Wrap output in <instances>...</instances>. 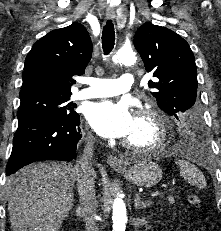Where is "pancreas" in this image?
Here are the masks:
<instances>
[{
    "label": "pancreas",
    "mask_w": 221,
    "mask_h": 231,
    "mask_svg": "<svg viewBox=\"0 0 221 231\" xmlns=\"http://www.w3.org/2000/svg\"><path fill=\"white\" fill-rule=\"evenodd\" d=\"M166 200L170 203V204H174L175 203V199H174V197L173 196H167L166 197Z\"/></svg>",
    "instance_id": "1"
}]
</instances>
